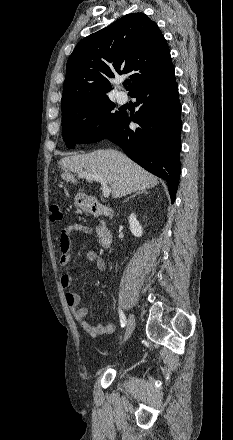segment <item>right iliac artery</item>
<instances>
[{
  "instance_id": "right-iliac-artery-1",
  "label": "right iliac artery",
  "mask_w": 233,
  "mask_h": 440,
  "mask_svg": "<svg viewBox=\"0 0 233 440\" xmlns=\"http://www.w3.org/2000/svg\"><path fill=\"white\" fill-rule=\"evenodd\" d=\"M119 316H120V325L123 328L126 325V317L121 310L119 311Z\"/></svg>"
}]
</instances>
